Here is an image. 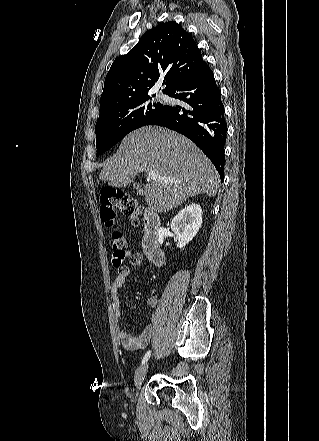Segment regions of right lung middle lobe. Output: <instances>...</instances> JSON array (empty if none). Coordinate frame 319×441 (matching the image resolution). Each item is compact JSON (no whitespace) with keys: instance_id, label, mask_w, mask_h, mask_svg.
Returning <instances> with one entry per match:
<instances>
[{"instance_id":"1","label":"right lung middle lobe","mask_w":319,"mask_h":441,"mask_svg":"<svg viewBox=\"0 0 319 441\" xmlns=\"http://www.w3.org/2000/svg\"><path fill=\"white\" fill-rule=\"evenodd\" d=\"M154 96V95H153ZM150 96L113 105L100 111L95 126L97 155H102L129 132L149 125L163 112L165 105L151 103Z\"/></svg>"}]
</instances>
